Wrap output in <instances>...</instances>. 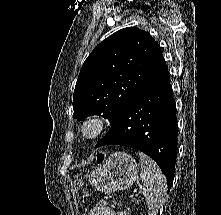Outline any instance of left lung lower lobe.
<instances>
[{
	"instance_id": "0a47b994",
	"label": "left lung lower lobe",
	"mask_w": 221,
	"mask_h": 215,
	"mask_svg": "<svg viewBox=\"0 0 221 215\" xmlns=\"http://www.w3.org/2000/svg\"><path fill=\"white\" fill-rule=\"evenodd\" d=\"M177 124L168 69L141 92L96 144L124 145L150 156L165 174L168 190L174 179Z\"/></svg>"
}]
</instances>
